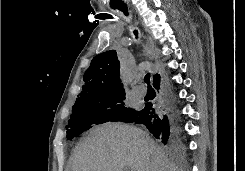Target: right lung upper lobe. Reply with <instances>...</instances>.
Segmentation results:
<instances>
[{"instance_id": "right-lung-upper-lobe-1", "label": "right lung upper lobe", "mask_w": 245, "mask_h": 171, "mask_svg": "<svg viewBox=\"0 0 245 171\" xmlns=\"http://www.w3.org/2000/svg\"><path fill=\"white\" fill-rule=\"evenodd\" d=\"M160 75H154V81ZM85 84L76 100H87L125 93L119 77V61L115 50H109L95 56L84 74Z\"/></svg>"}]
</instances>
